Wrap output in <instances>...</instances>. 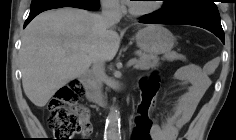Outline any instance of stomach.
I'll return each instance as SVG.
<instances>
[{
    "mask_svg": "<svg viewBox=\"0 0 236 140\" xmlns=\"http://www.w3.org/2000/svg\"><path fill=\"white\" fill-rule=\"evenodd\" d=\"M137 46L148 54H166L173 48L175 38L161 25H149L136 34Z\"/></svg>",
    "mask_w": 236,
    "mask_h": 140,
    "instance_id": "stomach-1",
    "label": "stomach"
}]
</instances>
